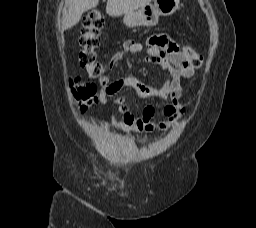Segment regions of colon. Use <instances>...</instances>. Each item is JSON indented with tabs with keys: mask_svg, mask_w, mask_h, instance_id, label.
I'll use <instances>...</instances> for the list:
<instances>
[{
	"mask_svg": "<svg viewBox=\"0 0 256 228\" xmlns=\"http://www.w3.org/2000/svg\"><path fill=\"white\" fill-rule=\"evenodd\" d=\"M104 20L98 11L88 12L82 23L80 45L82 51L79 54L80 66L85 68L91 78H100L103 74V66L97 60L96 49L100 44V34ZM182 53L193 68L202 66L203 58L190 47H183ZM71 92L79 102L82 110L96 102V87L91 83H82L78 78L70 81Z\"/></svg>",
	"mask_w": 256,
	"mask_h": 228,
	"instance_id": "1",
	"label": "colon"
}]
</instances>
